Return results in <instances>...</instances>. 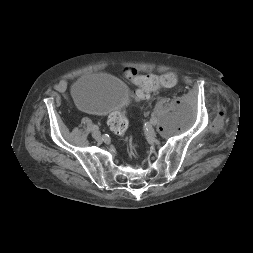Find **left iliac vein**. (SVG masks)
<instances>
[{
    "mask_svg": "<svg viewBox=\"0 0 253 253\" xmlns=\"http://www.w3.org/2000/svg\"><path fill=\"white\" fill-rule=\"evenodd\" d=\"M147 133H148L149 135H151V136L155 135V132H154V130H153V128H152L151 125H149L148 130H147Z\"/></svg>",
    "mask_w": 253,
    "mask_h": 253,
    "instance_id": "4c4485c4",
    "label": "left iliac vein"
}]
</instances>
